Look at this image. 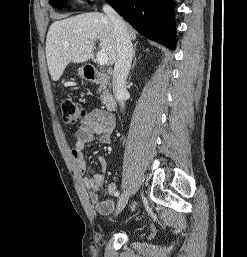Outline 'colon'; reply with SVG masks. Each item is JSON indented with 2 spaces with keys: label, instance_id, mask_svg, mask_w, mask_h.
Wrapping results in <instances>:
<instances>
[{
  "label": "colon",
  "instance_id": "obj_1",
  "mask_svg": "<svg viewBox=\"0 0 247 257\" xmlns=\"http://www.w3.org/2000/svg\"><path fill=\"white\" fill-rule=\"evenodd\" d=\"M59 105L61 108L63 121L68 125H76L86 116L85 108L80 103L70 98H61Z\"/></svg>",
  "mask_w": 247,
  "mask_h": 257
}]
</instances>
